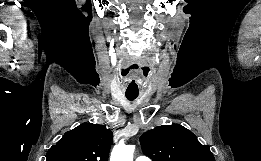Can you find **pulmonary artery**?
<instances>
[{"mask_svg": "<svg viewBox=\"0 0 261 161\" xmlns=\"http://www.w3.org/2000/svg\"><path fill=\"white\" fill-rule=\"evenodd\" d=\"M136 161H151V159L149 158V157H147V156H138L137 158H136Z\"/></svg>", "mask_w": 261, "mask_h": 161, "instance_id": "obj_1", "label": "pulmonary artery"}]
</instances>
